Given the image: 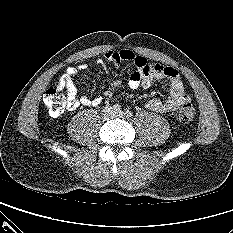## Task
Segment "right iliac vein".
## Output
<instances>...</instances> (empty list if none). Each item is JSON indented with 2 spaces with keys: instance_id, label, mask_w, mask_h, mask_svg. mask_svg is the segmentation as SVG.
<instances>
[{
  "instance_id": "1",
  "label": "right iliac vein",
  "mask_w": 233,
  "mask_h": 233,
  "mask_svg": "<svg viewBox=\"0 0 233 233\" xmlns=\"http://www.w3.org/2000/svg\"><path fill=\"white\" fill-rule=\"evenodd\" d=\"M107 115H110V110H106L105 112Z\"/></svg>"
}]
</instances>
